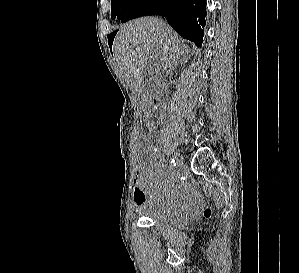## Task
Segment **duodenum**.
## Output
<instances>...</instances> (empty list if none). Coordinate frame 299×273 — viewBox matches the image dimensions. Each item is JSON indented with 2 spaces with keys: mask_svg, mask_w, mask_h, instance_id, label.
I'll return each mask as SVG.
<instances>
[{
  "mask_svg": "<svg viewBox=\"0 0 299 273\" xmlns=\"http://www.w3.org/2000/svg\"><path fill=\"white\" fill-rule=\"evenodd\" d=\"M164 98L162 96H155L152 98L153 109L158 112L160 115H163L165 112Z\"/></svg>",
  "mask_w": 299,
  "mask_h": 273,
  "instance_id": "410a0bca",
  "label": "duodenum"
}]
</instances>
